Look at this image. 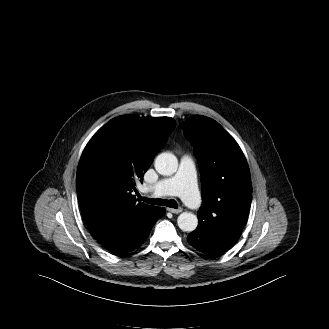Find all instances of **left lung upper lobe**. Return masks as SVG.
<instances>
[{
    "label": "left lung upper lobe",
    "mask_w": 329,
    "mask_h": 329,
    "mask_svg": "<svg viewBox=\"0 0 329 329\" xmlns=\"http://www.w3.org/2000/svg\"><path fill=\"white\" fill-rule=\"evenodd\" d=\"M195 149L201 170V228L222 231L230 222L245 224L252 200L248 164L237 142L211 118L193 116L180 124Z\"/></svg>",
    "instance_id": "obj_1"
}]
</instances>
